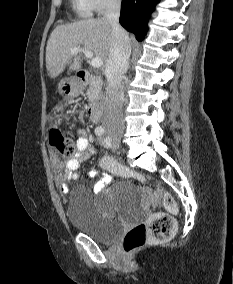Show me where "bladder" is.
<instances>
[{"label": "bladder", "instance_id": "1", "mask_svg": "<svg viewBox=\"0 0 233 284\" xmlns=\"http://www.w3.org/2000/svg\"><path fill=\"white\" fill-rule=\"evenodd\" d=\"M138 189L128 181L113 185L102 196V202L118 206H132L137 203ZM67 217L77 231L99 243L112 242L122 229L119 219L104 215L98 201L84 188H74L68 196Z\"/></svg>", "mask_w": 233, "mask_h": 284}]
</instances>
